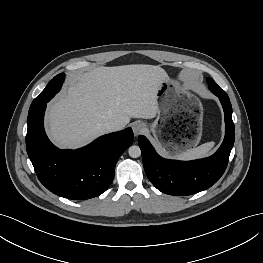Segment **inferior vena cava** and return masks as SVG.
I'll list each match as a JSON object with an SVG mask.
<instances>
[{"label":"inferior vena cava","mask_w":263,"mask_h":263,"mask_svg":"<svg viewBox=\"0 0 263 263\" xmlns=\"http://www.w3.org/2000/svg\"><path fill=\"white\" fill-rule=\"evenodd\" d=\"M105 128L109 131V132H113V131H118L122 129V125L117 122V121H109L107 123H105Z\"/></svg>","instance_id":"inferior-vena-cava-1"}]
</instances>
